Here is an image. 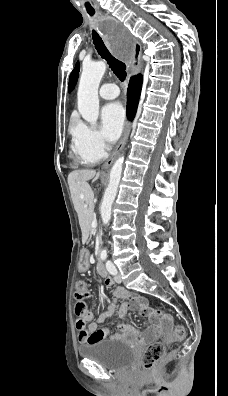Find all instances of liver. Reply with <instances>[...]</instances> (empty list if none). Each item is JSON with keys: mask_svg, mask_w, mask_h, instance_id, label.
<instances>
[{"mask_svg": "<svg viewBox=\"0 0 228 396\" xmlns=\"http://www.w3.org/2000/svg\"><path fill=\"white\" fill-rule=\"evenodd\" d=\"M100 174L95 170H75L68 175V185L74 208L78 214L83 241L87 239L91 218L94 210V193L88 180H97Z\"/></svg>", "mask_w": 228, "mask_h": 396, "instance_id": "1", "label": "liver"}]
</instances>
